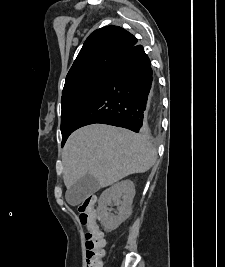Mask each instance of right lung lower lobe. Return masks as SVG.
<instances>
[{"label":"right lung lower lobe","mask_w":225,"mask_h":267,"mask_svg":"<svg viewBox=\"0 0 225 267\" xmlns=\"http://www.w3.org/2000/svg\"><path fill=\"white\" fill-rule=\"evenodd\" d=\"M155 83L148 55L142 45L124 51L97 93L77 119L74 130L94 123L143 131L147 102Z\"/></svg>","instance_id":"98d812e1"}]
</instances>
